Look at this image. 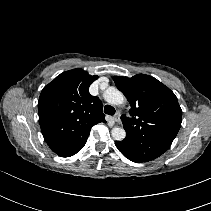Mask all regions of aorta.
<instances>
[{"label": "aorta", "instance_id": "762f6f07", "mask_svg": "<svg viewBox=\"0 0 211 211\" xmlns=\"http://www.w3.org/2000/svg\"><path fill=\"white\" fill-rule=\"evenodd\" d=\"M105 101L112 105H121L125 102V97L115 87H109L103 94ZM113 139L122 141L126 137V131L122 127H114L111 131Z\"/></svg>", "mask_w": 211, "mask_h": 211}]
</instances>
